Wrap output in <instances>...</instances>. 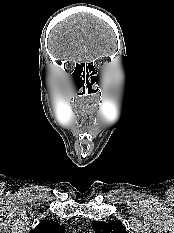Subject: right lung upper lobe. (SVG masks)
<instances>
[{
	"instance_id": "1",
	"label": "right lung upper lobe",
	"mask_w": 174,
	"mask_h": 233,
	"mask_svg": "<svg viewBox=\"0 0 174 233\" xmlns=\"http://www.w3.org/2000/svg\"><path fill=\"white\" fill-rule=\"evenodd\" d=\"M29 233H64V225H60L52 220H43Z\"/></svg>"
}]
</instances>
